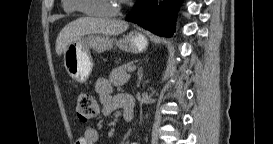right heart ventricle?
<instances>
[{"label":"right heart ventricle","mask_w":273,"mask_h":144,"mask_svg":"<svg viewBox=\"0 0 273 144\" xmlns=\"http://www.w3.org/2000/svg\"><path fill=\"white\" fill-rule=\"evenodd\" d=\"M62 7H63V10L66 13H73L74 11H76L74 6H73V1L72 0H63Z\"/></svg>","instance_id":"obj_1"}]
</instances>
